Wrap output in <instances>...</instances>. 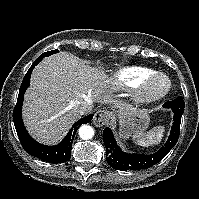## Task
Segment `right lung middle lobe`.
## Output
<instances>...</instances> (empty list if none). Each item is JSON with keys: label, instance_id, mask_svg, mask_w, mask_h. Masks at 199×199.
<instances>
[{"label": "right lung middle lobe", "instance_id": "1", "mask_svg": "<svg viewBox=\"0 0 199 199\" xmlns=\"http://www.w3.org/2000/svg\"><path fill=\"white\" fill-rule=\"evenodd\" d=\"M57 52H58L57 49H56V50H53V51L45 52V53H43V54L40 55V58L43 59L44 57H48V56H50V55H52V54H54V53H57Z\"/></svg>", "mask_w": 199, "mask_h": 199}]
</instances>
